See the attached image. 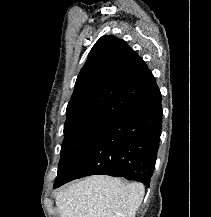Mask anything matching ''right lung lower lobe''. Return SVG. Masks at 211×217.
Returning <instances> with one entry per match:
<instances>
[{"label":"right lung lower lobe","mask_w":211,"mask_h":217,"mask_svg":"<svg viewBox=\"0 0 211 217\" xmlns=\"http://www.w3.org/2000/svg\"><path fill=\"white\" fill-rule=\"evenodd\" d=\"M161 93L156 85L126 106L104 128L54 188L89 175L124 177L150 185L162 127Z\"/></svg>","instance_id":"98d812e1"}]
</instances>
